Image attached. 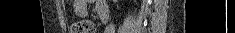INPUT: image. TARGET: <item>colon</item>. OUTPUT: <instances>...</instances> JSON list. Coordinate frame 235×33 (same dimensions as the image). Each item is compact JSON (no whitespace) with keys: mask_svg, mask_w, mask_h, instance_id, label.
Wrapping results in <instances>:
<instances>
[{"mask_svg":"<svg viewBox=\"0 0 235 33\" xmlns=\"http://www.w3.org/2000/svg\"><path fill=\"white\" fill-rule=\"evenodd\" d=\"M71 33H94V25L89 20H81L72 25Z\"/></svg>","mask_w":235,"mask_h":33,"instance_id":"colon-1","label":"colon"}]
</instances>
